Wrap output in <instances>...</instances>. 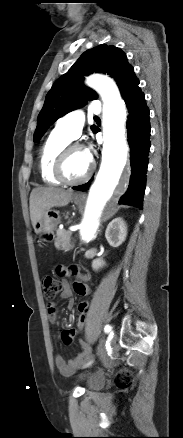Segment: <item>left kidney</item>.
<instances>
[{"label": "left kidney", "mask_w": 183, "mask_h": 438, "mask_svg": "<svg viewBox=\"0 0 183 438\" xmlns=\"http://www.w3.org/2000/svg\"><path fill=\"white\" fill-rule=\"evenodd\" d=\"M127 226L122 218L113 219L107 226L105 231V237L111 246L118 247L126 239ZM106 265L105 261L101 258L95 259L92 262V268L98 271L100 268Z\"/></svg>", "instance_id": "5707ae66"}]
</instances>
